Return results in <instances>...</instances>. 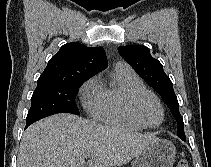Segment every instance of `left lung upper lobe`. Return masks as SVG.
I'll return each mask as SVG.
<instances>
[{
	"label": "left lung upper lobe",
	"mask_w": 211,
	"mask_h": 167,
	"mask_svg": "<svg viewBox=\"0 0 211 167\" xmlns=\"http://www.w3.org/2000/svg\"><path fill=\"white\" fill-rule=\"evenodd\" d=\"M118 51L134 70L159 93L177 121V135L185 138L184 123L179 112L177 96L162 64L150 55L147 47L142 45L120 46Z\"/></svg>",
	"instance_id": "left-lung-upper-lobe-1"
}]
</instances>
